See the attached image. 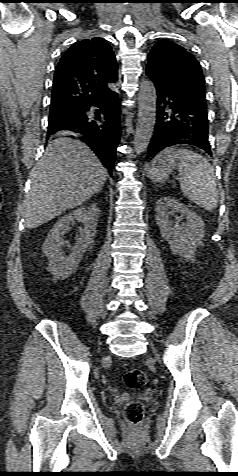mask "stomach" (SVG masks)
I'll list each match as a JSON object with an SVG mask.
<instances>
[{"label": "stomach", "mask_w": 238, "mask_h": 476, "mask_svg": "<svg viewBox=\"0 0 238 476\" xmlns=\"http://www.w3.org/2000/svg\"><path fill=\"white\" fill-rule=\"evenodd\" d=\"M177 164L178 160L173 149H166L159 153L149 164L147 175L154 182H164Z\"/></svg>", "instance_id": "1"}]
</instances>
